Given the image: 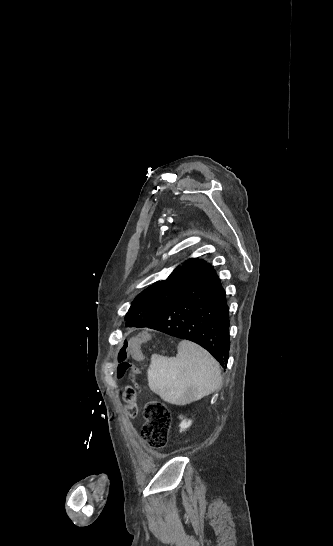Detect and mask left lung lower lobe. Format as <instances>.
I'll list each match as a JSON object with an SVG mask.
<instances>
[{
	"mask_svg": "<svg viewBox=\"0 0 333 546\" xmlns=\"http://www.w3.org/2000/svg\"><path fill=\"white\" fill-rule=\"evenodd\" d=\"M229 325L225 291L213 267L206 263L190 287L145 327L201 345L226 368ZM126 326L140 328L134 317L126 320Z\"/></svg>",
	"mask_w": 333,
	"mask_h": 546,
	"instance_id": "0a47b994",
	"label": "left lung lower lobe"
}]
</instances>
